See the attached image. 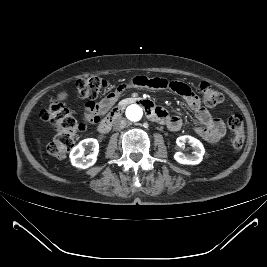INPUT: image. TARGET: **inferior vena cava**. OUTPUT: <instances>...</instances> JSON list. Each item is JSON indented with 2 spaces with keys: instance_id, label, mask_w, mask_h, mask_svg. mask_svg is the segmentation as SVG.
I'll list each match as a JSON object with an SVG mask.
<instances>
[{
  "instance_id": "1",
  "label": "inferior vena cava",
  "mask_w": 267,
  "mask_h": 267,
  "mask_svg": "<svg viewBox=\"0 0 267 267\" xmlns=\"http://www.w3.org/2000/svg\"><path fill=\"white\" fill-rule=\"evenodd\" d=\"M126 124H127V121L124 118L117 119L113 123V129L116 131L121 130L125 128Z\"/></svg>"
}]
</instances>
